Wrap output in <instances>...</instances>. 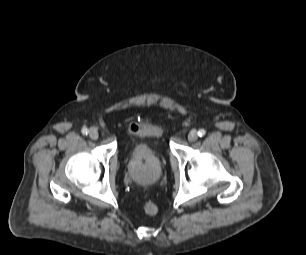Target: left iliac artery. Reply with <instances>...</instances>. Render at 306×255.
<instances>
[{"label": "left iliac artery", "instance_id": "left-iliac-artery-1", "mask_svg": "<svg viewBox=\"0 0 306 255\" xmlns=\"http://www.w3.org/2000/svg\"><path fill=\"white\" fill-rule=\"evenodd\" d=\"M205 134H206V131H205L204 129H200V130L198 131V136H199V137H203Z\"/></svg>", "mask_w": 306, "mask_h": 255}]
</instances>
